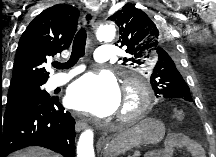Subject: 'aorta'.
<instances>
[{
  "label": "aorta",
  "instance_id": "1",
  "mask_svg": "<svg viewBox=\"0 0 216 157\" xmlns=\"http://www.w3.org/2000/svg\"><path fill=\"white\" fill-rule=\"evenodd\" d=\"M116 35V28L114 24L101 25L97 30V39L103 42L112 41ZM93 131L88 129L84 131L78 141L77 157H95L93 148ZM117 153L106 154L116 155Z\"/></svg>",
  "mask_w": 216,
  "mask_h": 157
}]
</instances>
